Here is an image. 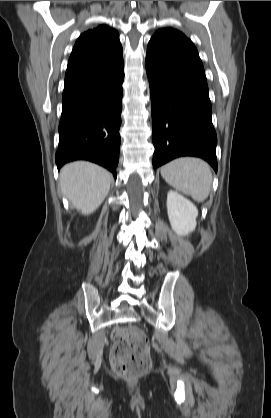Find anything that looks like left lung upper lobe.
<instances>
[{
  "instance_id": "left-lung-upper-lobe-1",
  "label": "left lung upper lobe",
  "mask_w": 271,
  "mask_h": 418,
  "mask_svg": "<svg viewBox=\"0 0 271 418\" xmlns=\"http://www.w3.org/2000/svg\"><path fill=\"white\" fill-rule=\"evenodd\" d=\"M151 40H156L181 56L203 66L194 44L182 32L173 28L159 29Z\"/></svg>"
}]
</instances>
